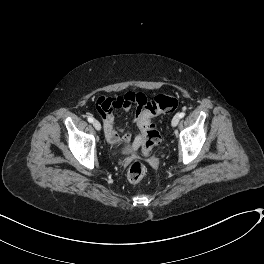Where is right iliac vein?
<instances>
[{
  "mask_svg": "<svg viewBox=\"0 0 264 264\" xmlns=\"http://www.w3.org/2000/svg\"><path fill=\"white\" fill-rule=\"evenodd\" d=\"M93 126L96 130H101V124L97 120L93 121Z\"/></svg>",
  "mask_w": 264,
  "mask_h": 264,
  "instance_id": "63e3f726",
  "label": "right iliac vein"
}]
</instances>
